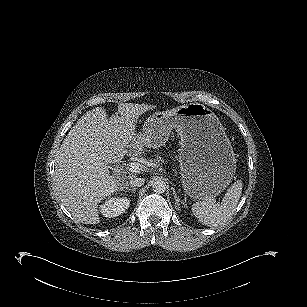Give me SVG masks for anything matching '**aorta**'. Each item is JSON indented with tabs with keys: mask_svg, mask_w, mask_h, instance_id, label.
<instances>
[{
	"mask_svg": "<svg viewBox=\"0 0 307 307\" xmlns=\"http://www.w3.org/2000/svg\"><path fill=\"white\" fill-rule=\"evenodd\" d=\"M167 189V184L165 183V181L161 180V179H156L153 181L152 183V190L157 193V194H161L164 193Z\"/></svg>",
	"mask_w": 307,
	"mask_h": 307,
	"instance_id": "1",
	"label": "aorta"
}]
</instances>
